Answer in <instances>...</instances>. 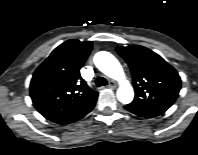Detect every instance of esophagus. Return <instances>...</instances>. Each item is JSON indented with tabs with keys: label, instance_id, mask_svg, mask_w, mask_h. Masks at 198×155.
<instances>
[{
	"label": "esophagus",
	"instance_id": "34e87169",
	"mask_svg": "<svg viewBox=\"0 0 198 155\" xmlns=\"http://www.w3.org/2000/svg\"><path fill=\"white\" fill-rule=\"evenodd\" d=\"M108 86H109L110 88H116V87H117V84H116V82H114V81L111 80V81L109 82Z\"/></svg>",
	"mask_w": 198,
	"mask_h": 155
}]
</instances>
